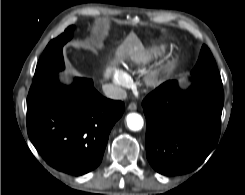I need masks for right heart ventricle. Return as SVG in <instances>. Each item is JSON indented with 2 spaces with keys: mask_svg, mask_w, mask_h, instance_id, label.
<instances>
[{
  "mask_svg": "<svg viewBox=\"0 0 245 195\" xmlns=\"http://www.w3.org/2000/svg\"><path fill=\"white\" fill-rule=\"evenodd\" d=\"M131 66H132V63H130V62L124 64V67H125L127 70H129V69L131 68Z\"/></svg>",
  "mask_w": 245,
  "mask_h": 195,
  "instance_id": "right-heart-ventricle-1",
  "label": "right heart ventricle"
}]
</instances>
